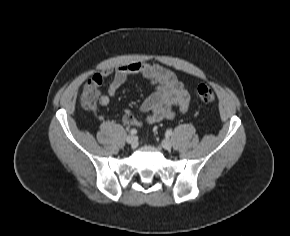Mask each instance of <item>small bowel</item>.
Returning a JSON list of instances; mask_svg holds the SVG:
<instances>
[{
  "label": "small bowel",
  "instance_id": "1",
  "mask_svg": "<svg viewBox=\"0 0 290 236\" xmlns=\"http://www.w3.org/2000/svg\"><path fill=\"white\" fill-rule=\"evenodd\" d=\"M141 75L155 87L154 92L142 103L141 111L147 113L146 123L154 124L173 118L177 113H184L190 105V94L185 84L171 70L157 64L129 63L107 68L93 75L95 84L101 85L111 77L107 94L99 96L98 104L106 107L130 76ZM123 122L127 126L139 125L134 114L125 110Z\"/></svg>",
  "mask_w": 290,
  "mask_h": 236
}]
</instances>
